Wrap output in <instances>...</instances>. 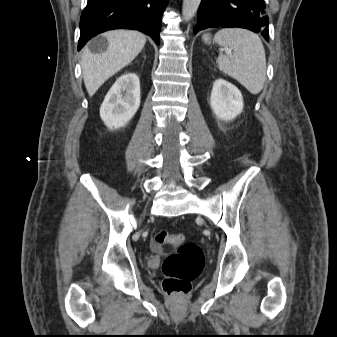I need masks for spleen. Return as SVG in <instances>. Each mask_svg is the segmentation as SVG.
I'll return each mask as SVG.
<instances>
[{"label":"spleen","mask_w":337,"mask_h":337,"mask_svg":"<svg viewBox=\"0 0 337 337\" xmlns=\"http://www.w3.org/2000/svg\"><path fill=\"white\" fill-rule=\"evenodd\" d=\"M214 41L230 51L218 56L219 70L250 93H260L266 80V57L259 36L246 29L225 28L215 34Z\"/></svg>","instance_id":"obj_1"}]
</instances>
